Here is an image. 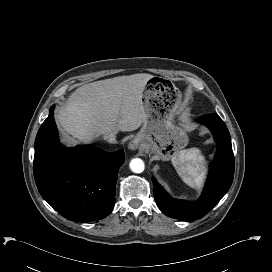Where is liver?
<instances>
[{"label":"liver","mask_w":272,"mask_h":272,"mask_svg":"<svg viewBox=\"0 0 272 272\" xmlns=\"http://www.w3.org/2000/svg\"><path fill=\"white\" fill-rule=\"evenodd\" d=\"M150 74H133L100 80L76 89L57 119L77 142L118 131H134L145 122L142 95Z\"/></svg>","instance_id":"liver-1"}]
</instances>
